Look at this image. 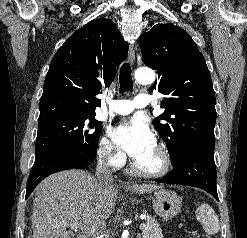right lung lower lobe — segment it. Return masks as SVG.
<instances>
[{"label":"right lung lower lobe","mask_w":247,"mask_h":238,"mask_svg":"<svg viewBox=\"0 0 247 238\" xmlns=\"http://www.w3.org/2000/svg\"><path fill=\"white\" fill-rule=\"evenodd\" d=\"M96 154L59 153L46 157L34 164L29 178L25 199L34 188L48 175L62 170L85 168L95 160Z\"/></svg>","instance_id":"98d812e1"}]
</instances>
